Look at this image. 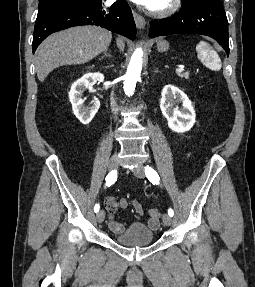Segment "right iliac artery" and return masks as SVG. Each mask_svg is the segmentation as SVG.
Returning a JSON list of instances; mask_svg holds the SVG:
<instances>
[{
  "label": "right iliac artery",
  "mask_w": 255,
  "mask_h": 287,
  "mask_svg": "<svg viewBox=\"0 0 255 287\" xmlns=\"http://www.w3.org/2000/svg\"><path fill=\"white\" fill-rule=\"evenodd\" d=\"M117 180V171L116 170H112L107 176H106V186H111L112 184L115 183V181ZM99 204H96L94 206V211L98 212L99 211Z\"/></svg>",
  "instance_id": "1"
}]
</instances>
